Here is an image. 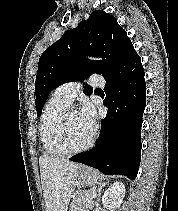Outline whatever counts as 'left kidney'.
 Returning a JSON list of instances; mask_svg holds the SVG:
<instances>
[{
	"mask_svg": "<svg viewBox=\"0 0 178 211\" xmlns=\"http://www.w3.org/2000/svg\"><path fill=\"white\" fill-rule=\"evenodd\" d=\"M125 192V185L122 182H114L106 189L102 196L103 206L109 209V211H115L123 202Z\"/></svg>",
	"mask_w": 178,
	"mask_h": 211,
	"instance_id": "left-kidney-1",
	"label": "left kidney"
}]
</instances>
